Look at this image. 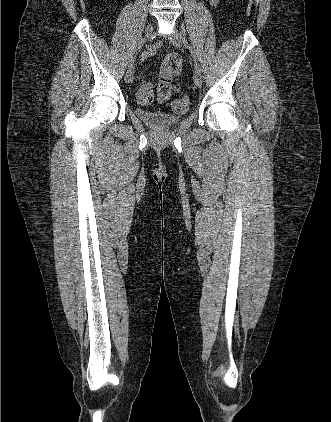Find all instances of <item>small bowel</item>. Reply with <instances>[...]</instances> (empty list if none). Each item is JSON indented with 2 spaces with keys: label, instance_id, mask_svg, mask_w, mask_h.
I'll list each match as a JSON object with an SVG mask.
<instances>
[{
  "label": "small bowel",
  "instance_id": "1",
  "mask_svg": "<svg viewBox=\"0 0 331 422\" xmlns=\"http://www.w3.org/2000/svg\"><path fill=\"white\" fill-rule=\"evenodd\" d=\"M219 2L220 0H209V3L213 7L217 6ZM159 46H160L159 43H155L149 46V48L142 54L143 60L154 56L156 52L158 51ZM142 98L147 99V102L145 104H147L148 102L152 100V85L150 83L141 84L138 90V94H137V99L141 104H143L141 102Z\"/></svg>",
  "mask_w": 331,
  "mask_h": 422
}]
</instances>
